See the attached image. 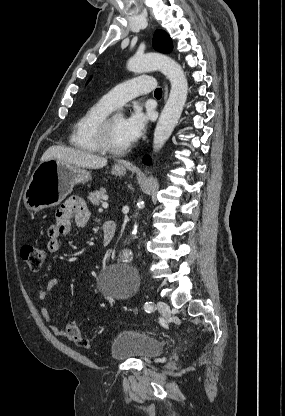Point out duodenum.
Listing matches in <instances>:
<instances>
[{
    "label": "duodenum",
    "mask_w": 285,
    "mask_h": 416,
    "mask_svg": "<svg viewBox=\"0 0 285 416\" xmlns=\"http://www.w3.org/2000/svg\"><path fill=\"white\" fill-rule=\"evenodd\" d=\"M117 225L112 220H106L102 222V232H103V246L109 247L112 243V240L115 236Z\"/></svg>",
    "instance_id": "duodenum-1"
}]
</instances>
